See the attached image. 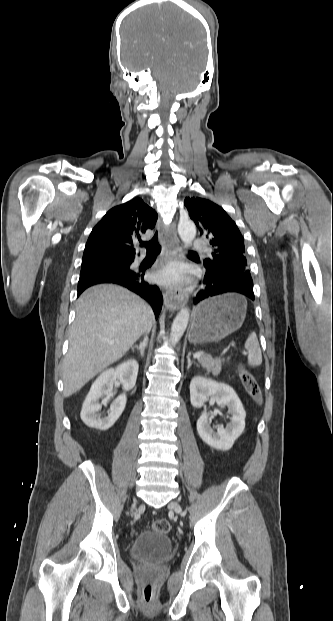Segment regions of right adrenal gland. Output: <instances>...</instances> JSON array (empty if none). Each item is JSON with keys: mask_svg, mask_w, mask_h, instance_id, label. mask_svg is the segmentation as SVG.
Instances as JSON below:
<instances>
[{"mask_svg": "<svg viewBox=\"0 0 333 621\" xmlns=\"http://www.w3.org/2000/svg\"><path fill=\"white\" fill-rule=\"evenodd\" d=\"M147 346H148V338L146 336L144 337L143 341L139 345L132 346L131 350L132 351H134L135 349L138 350L140 352V355L143 357Z\"/></svg>", "mask_w": 333, "mask_h": 621, "instance_id": "right-adrenal-gland-1", "label": "right adrenal gland"}]
</instances>
